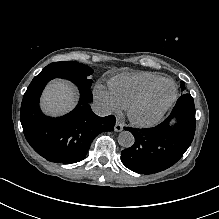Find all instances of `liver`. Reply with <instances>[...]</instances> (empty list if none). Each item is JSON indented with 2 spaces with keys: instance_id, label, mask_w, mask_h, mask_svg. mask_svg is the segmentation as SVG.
I'll use <instances>...</instances> for the list:
<instances>
[{
  "instance_id": "1",
  "label": "liver",
  "mask_w": 219,
  "mask_h": 219,
  "mask_svg": "<svg viewBox=\"0 0 219 219\" xmlns=\"http://www.w3.org/2000/svg\"><path fill=\"white\" fill-rule=\"evenodd\" d=\"M76 104L73 86L63 80H53L41 97V109L47 115L58 116L70 111Z\"/></svg>"
}]
</instances>
